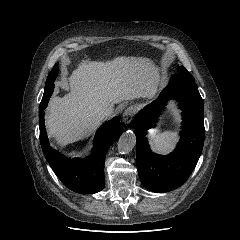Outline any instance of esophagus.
<instances>
[{"instance_id":"esophagus-1","label":"esophagus","mask_w":240,"mask_h":240,"mask_svg":"<svg viewBox=\"0 0 240 240\" xmlns=\"http://www.w3.org/2000/svg\"><path fill=\"white\" fill-rule=\"evenodd\" d=\"M134 116L135 108L134 107L127 108L122 115L123 122L125 124H129L133 120Z\"/></svg>"}]
</instances>
